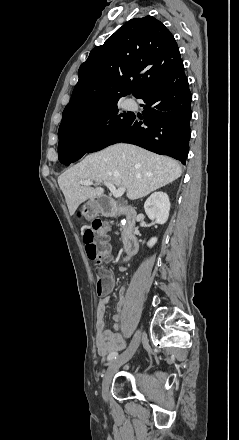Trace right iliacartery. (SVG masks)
Returning a JSON list of instances; mask_svg holds the SVG:
<instances>
[{"label":"right iliac artery","instance_id":"1","mask_svg":"<svg viewBox=\"0 0 239 440\" xmlns=\"http://www.w3.org/2000/svg\"><path fill=\"white\" fill-rule=\"evenodd\" d=\"M118 356L117 352H112L111 354L108 355L107 360L111 361L113 359H115Z\"/></svg>","mask_w":239,"mask_h":440}]
</instances>
